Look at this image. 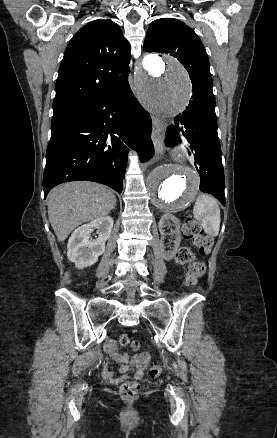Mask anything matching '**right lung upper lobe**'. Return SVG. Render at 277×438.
I'll return each mask as SVG.
<instances>
[{"mask_svg":"<svg viewBox=\"0 0 277 438\" xmlns=\"http://www.w3.org/2000/svg\"><path fill=\"white\" fill-rule=\"evenodd\" d=\"M130 44L112 20H94L70 40L59 68L53 111H67L128 78ZM82 64L92 71L69 67ZM112 65L111 68L105 67Z\"/></svg>","mask_w":277,"mask_h":438,"instance_id":"1","label":"right lung upper lobe"}]
</instances>
